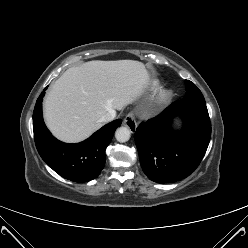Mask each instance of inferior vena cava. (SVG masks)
Masks as SVG:
<instances>
[{
  "label": "inferior vena cava",
  "mask_w": 248,
  "mask_h": 248,
  "mask_svg": "<svg viewBox=\"0 0 248 248\" xmlns=\"http://www.w3.org/2000/svg\"><path fill=\"white\" fill-rule=\"evenodd\" d=\"M115 117H116V111L111 110V111L107 112L104 116H102L100 121L103 123H107V122L114 120Z\"/></svg>",
  "instance_id": "602c4592"
}]
</instances>
